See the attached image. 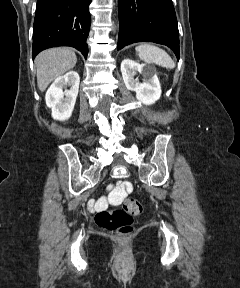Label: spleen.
Listing matches in <instances>:
<instances>
[{
	"label": "spleen",
	"mask_w": 240,
	"mask_h": 288,
	"mask_svg": "<svg viewBox=\"0 0 240 288\" xmlns=\"http://www.w3.org/2000/svg\"><path fill=\"white\" fill-rule=\"evenodd\" d=\"M135 50L139 58L146 63H155L167 69L175 67V63L168 53L155 45L144 43L138 45Z\"/></svg>",
	"instance_id": "obj_1"
}]
</instances>
